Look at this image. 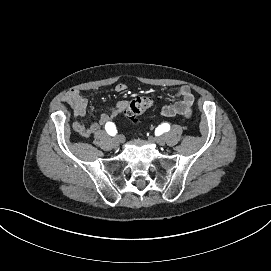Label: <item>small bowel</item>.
Segmentation results:
<instances>
[{
	"label": "small bowel",
	"mask_w": 271,
	"mask_h": 271,
	"mask_svg": "<svg viewBox=\"0 0 271 271\" xmlns=\"http://www.w3.org/2000/svg\"><path fill=\"white\" fill-rule=\"evenodd\" d=\"M126 84L119 83L114 87V91L117 93H123L127 91ZM175 96L178 98L173 104L164 106L160 113L165 117L180 116L183 118H189L192 114V106L194 103V95L188 86H179L175 90ZM64 101L72 108L74 115L78 118L72 124L73 130L81 137L87 138L95 134L100 128L110 122L112 119L121 114L125 107V101L117 102L108 113H103L99 120L92 122L89 125L83 124L79 118L85 116L88 99L77 89L70 90L64 96Z\"/></svg>",
	"instance_id": "c3829d8e"
}]
</instances>
